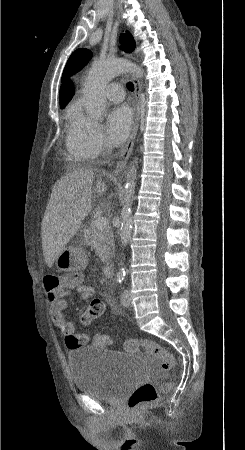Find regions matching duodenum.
I'll return each mask as SVG.
<instances>
[{"label":"duodenum","mask_w":245,"mask_h":450,"mask_svg":"<svg viewBox=\"0 0 245 450\" xmlns=\"http://www.w3.org/2000/svg\"><path fill=\"white\" fill-rule=\"evenodd\" d=\"M103 272L106 276H109L111 278L114 277L115 275V265L113 262H110L108 264L105 265Z\"/></svg>","instance_id":"obj_1"}]
</instances>
